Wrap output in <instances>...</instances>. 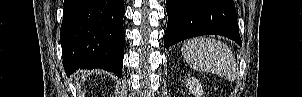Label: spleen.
<instances>
[{"instance_id":"obj_1","label":"spleen","mask_w":302,"mask_h":97,"mask_svg":"<svg viewBox=\"0 0 302 97\" xmlns=\"http://www.w3.org/2000/svg\"><path fill=\"white\" fill-rule=\"evenodd\" d=\"M185 61L196 71L214 73L233 81L237 75L236 59L223 42L197 37L184 42L181 48Z\"/></svg>"}]
</instances>
